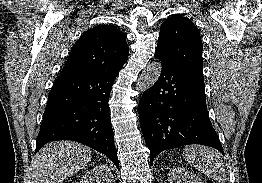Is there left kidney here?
Listing matches in <instances>:
<instances>
[{
	"instance_id": "1",
	"label": "left kidney",
	"mask_w": 262,
	"mask_h": 183,
	"mask_svg": "<svg viewBox=\"0 0 262 183\" xmlns=\"http://www.w3.org/2000/svg\"><path fill=\"white\" fill-rule=\"evenodd\" d=\"M168 181L169 183H204L198 176L182 167L173 168L168 174Z\"/></svg>"
}]
</instances>
